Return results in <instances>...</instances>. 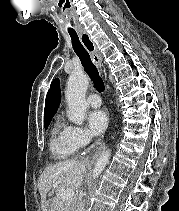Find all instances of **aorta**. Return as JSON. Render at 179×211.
<instances>
[{
    "mask_svg": "<svg viewBox=\"0 0 179 211\" xmlns=\"http://www.w3.org/2000/svg\"><path fill=\"white\" fill-rule=\"evenodd\" d=\"M89 76L83 72H74L70 75L65 92L68 104L67 115L70 121L80 125L84 122L87 104L85 93L89 84ZM110 151L106 150L97 159L93 169V179L99 177L109 162Z\"/></svg>",
    "mask_w": 179,
    "mask_h": 211,
    "instance_id": "1",
    "label": "aorta"
}]
</instances>
